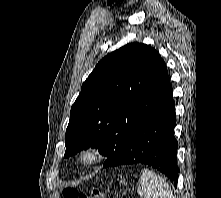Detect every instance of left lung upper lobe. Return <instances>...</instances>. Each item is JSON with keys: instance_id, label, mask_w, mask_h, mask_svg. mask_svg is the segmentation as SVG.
Wrapping results in <instances>:
<instances>
[{"instance_id": "1", "label": "left lung upper lobe", "mask_w": 221, "mask_h": 198, "mask_svg": "<svg viewBox=\"0 0 221 198\" xmlns=\"http://www.w3.org/2000/svg\"><path fill=\"white\" fill-rule=\"evenodd\" d=\"M168 71L149 45L130 43L105 56L71 107L65 158L89 147L119 151L165 93Z\"/></svg>"}]
</instances>
